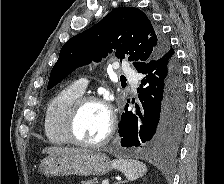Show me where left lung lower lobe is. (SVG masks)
I'll list each match as a JSON object with an SVG mask.
<instances>
[{
  "label": "left lung lower lobe",
  "instance_id": "obj_1",
  "mask_svg": "<svg viewBox=\"0 0 224 184\" xmlns=\"http://www.w3.org/2000/svg\"><path fill=\"white\" fill-rule=\"evenodd\" d=\"M138 72L145 74L138 88L141 107L121 116V146L142 147L165 155L174 150L183 132L185 86L174 50L169 49Z\"/></svg>",
  "mask_w": 224,
  "mask_h": 184
}]
</instances>
